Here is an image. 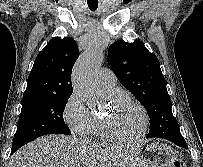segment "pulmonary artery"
<instances>
[{"label":"pulmonary artery","mask_w":203,"mask_h":167,"mask_svg":"<svg viewBox=\"0 0 203 167\" xmlns=\"http://www.w3.org/2000/svg\"><path fill=\"white\" fill-rule=\"evenodd\" d=\"M99 85L104 89H113L116 86V75L107 68H102L97 75Z\"/></svg>","instance_id":"1"}]
</instances>
